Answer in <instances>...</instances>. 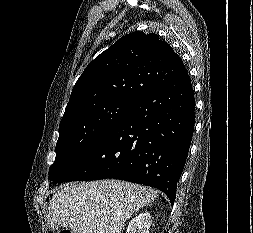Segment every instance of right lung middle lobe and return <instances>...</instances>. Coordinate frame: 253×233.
Segmentation results:
<instances>
[{
  "label": "right lung middle lobe",
  "mask_w": 253,
  "mask_h": 233,
  "mask_svg": "<svg viewBox=\"0 0 253 233\" xmlns=\"http://www.w3.org/2000/svg\"><path fill=\"white\" fill-rule=\"evenodd\" d=\"M135 100L113 98L79 107L63 116L56 144V158L50 166L55 180L92 151L121 122Z\"/></svg>",
  "instance_id": "obj_1"
}]
</instances>
